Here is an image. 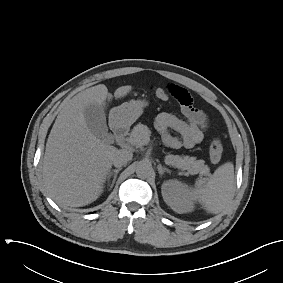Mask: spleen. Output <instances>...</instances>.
<instances>
[{
	"instance_id": "spleen-1",
	"label": "spleen",
	"mask_w": 283,
	"mask_h": 283,
	"mask_svg": "<svg viewBox=\"0 0 283 283\" xmlns=\"http://www.w3.org/2000/svg\"><path fill=\"white\" fill-rule=\"evenodd\" d=\"M234 190V165L227 162L219 166L205 180H198L189 190L192 199L198 201L208 212H221L232 199Z\"/></svg>"
}]
</instances>
